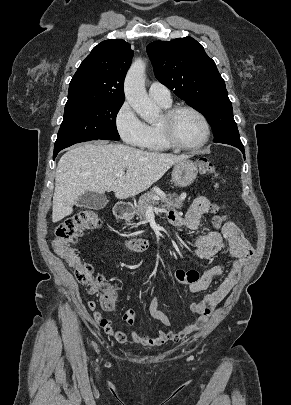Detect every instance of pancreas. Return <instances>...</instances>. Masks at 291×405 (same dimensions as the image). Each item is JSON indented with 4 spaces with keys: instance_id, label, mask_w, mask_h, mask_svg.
<instances>
[{
    "instance_id": "pancreas-1",
    "label": "pancreas",
    "mask_w": 291,
    "mask_h": 405,
    "mask_svg": "<svg viewBox=\"0 0 291 405\" xmlns=\"http://www.w3.org/2000/svg\"><path fill=\"white\" fill-rule=\"evenodd\" d=\"M155 196L160 197L161 201L165 203V206L167 207L172 206L173 208L179 209L183 206L184 198L182 196L173 194L172 197L167 199L164 196H159L156 190H151L140 197L136 206V214L140 218V220L146 219V211L149 206H156L159 204L158 200H154Z\"/></svg>"
}]
</instances>
